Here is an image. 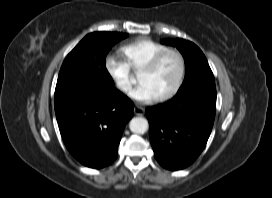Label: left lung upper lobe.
<instances>
[{
	"label": "left lung upper lobe",
	"instance_id": "1",
	"mask_svg": "<svg viewBox=\"0 0 272 198\" xmlns=\"http://www.w3.org/2000/svg\"><path fill=\"white\" fill-rule=\"evenodd\" d=\"M161 43L177 47L184 56L186 76L178 92L193 86L215 85L206 57L194 43L184 39H165Z\"/></svg>",
	"mask_w": 272,
	"mask_h": 198
}]
</instances>
